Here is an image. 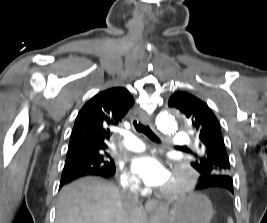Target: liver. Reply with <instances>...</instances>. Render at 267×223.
I'll return each instance as SVG.
<instances>
[{"label": "liver", "mask_w": 267, "mask_h": 223, "mask_svg": "<svg viewBox=\"0 0 267 223\" xmlns=\"http://www.w3.org/2000/svg\"><path fill=\"white\" fill-rule=\"evenodd\" d=\"M144 216L139 205L125 208L114 184L85 177L62 188L55 223H144Z\"/></svg>", "instance_id": "liver-1"}]
</instances>
